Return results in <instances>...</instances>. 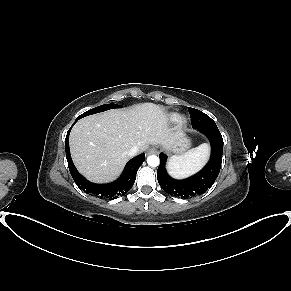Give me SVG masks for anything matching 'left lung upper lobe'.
<instances>
[{
    "label": "left lung upper lobe",
    "instance_id": "obj_1",
    "mask_svg": "<svg viewBox=\"0 0 291 291\" xmlns=\"http://www.w3.org/2000/svg\"><path fill=\"white\" fill-rule=\"evenodd\" d=\"M188 110H189V113H190V116H191V123L194 122V123H197L196 121L199 120V118H201L200 114L203 113L197 109H194V108H190L188 107Z\"/></svg>",
    "mask_w": 291,
    "mask_h": 291
}]
</instances>
